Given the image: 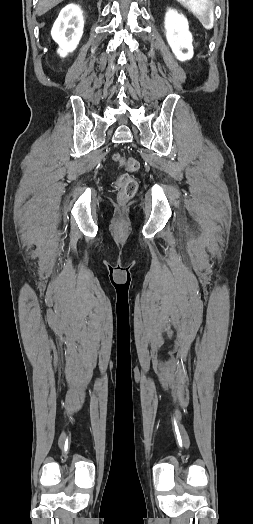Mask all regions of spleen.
I'll return each instance as SVG.
<instances>
[{
    "label": "spleen",
    "mask_w": 253,
    "mask_h": 524,
    "mask_svg": "<svg viewBox=\"0 0 253 524\" xmlns=\"http://www.w3.org/2000/svg\"><path fill=\"white\" fill-rule=\"evenodd\" d=\"M189 11H191L205 29H212L214 18L211 14L210 0H177Z\"/></svg>",
    "instance_id": "3e777b00"
}]
</instances>
